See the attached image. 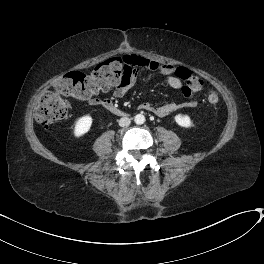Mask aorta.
I'll list each match as a JSON object with an SVG mask.
<instances>
[{"label": "aorta", "mask_w": 264, "mask_h": 264, "mask_svg": "<svg viewBox=\"0 0 264 264\" xmlns=\"http://www.w3.org/2000/svg\"><path fill=\"white\" fill-rule=\"evenodd\" d=\"M134 121L136 124L141 125L145 122V116L143 114H137L134 116Z\"/></svg>", "instance_id": "obj_1"}]
</instances>
